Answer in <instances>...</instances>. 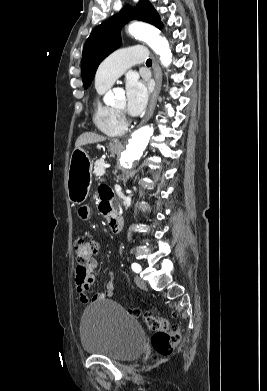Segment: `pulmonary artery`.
<instances>
[{
  "label": "pulmonary artery",
  "instance_id": "e3ab8cb5",
  "mask_svg": "<svg viewBox=\"0 0 267 391\" xmlns=\"http://www.w3.org/2000/svg\"><path fill=\"white\" fill-rule=\"evenodd\" d=\"M147 50L142 46H129L118 49L103 60L97 69L95 85L108 87L122 73L134 64L145 62Z\"/></svg>",
  "mask_w": 267,
  "mask_h": 391
}]
</instances>
